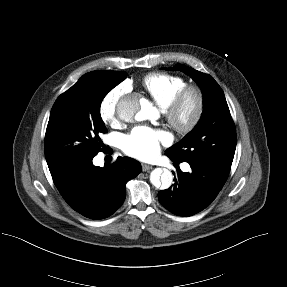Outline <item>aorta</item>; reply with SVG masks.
Instances as JSON below:
<instances>
[{
  "label": "aorta",
  "instance_id": "762f6f07",
  "mask_svg": "<svg viewBox=\"0 0 287 287\" xmlns=\"http://www.w3.org/2000/svg\"><path fill=\"white\" fill-rule=\"evenodd\" d=\"M117 111L119 117L126 122L133 119L143 121L151 117L154 107L138 94H130L119 102ZM150 182L156 188L168 189L173 183V174L168 169L156 168L150 174Z\"/></svg>",
  "mask_w": 287,
  "mask_h": 287
}]
</instances>
